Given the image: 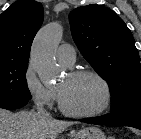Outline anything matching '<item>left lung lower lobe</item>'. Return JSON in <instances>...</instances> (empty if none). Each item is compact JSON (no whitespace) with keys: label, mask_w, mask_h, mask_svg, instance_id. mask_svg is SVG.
Instances as JSON below:
<instances>
[{"label":"left lung lower lobe","mask_w":141,"mask_h":139,"mask_svg":"<svg viewBox=\"0 0 141 139\" xmlns=\"http://www.w3.org/2000/svg\"><path fill=\"white\" fill-rule=\"evenodd\" d=\"M79 121L100 125L130 126L141 130V103L130 105L102 117L84 118Z\"/></svg>","instance_id":"left-lung-lower-lobe-1"}]
</instances>
